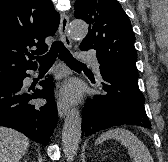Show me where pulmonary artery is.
I'll return each mask as SVG.
<instances>
[{
	"mask_svg": "<svg viewBox=\"0 0 168 162\" xmlns=\"http://www.w3.org/2000/svg\"><path fill=\"white\" fill-rule=\"evenodd\" d=\"M81 59L85 62H89L93 66L96 74L99 76V74H100V64L95 57H93L92 55L83 54Z\"/></svg>",
	"mask_w": 168,
	"mask_h": 162,
	"instance_id": "1",
	"label": "pulmonary artery"
}]
</instances>
